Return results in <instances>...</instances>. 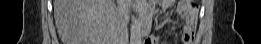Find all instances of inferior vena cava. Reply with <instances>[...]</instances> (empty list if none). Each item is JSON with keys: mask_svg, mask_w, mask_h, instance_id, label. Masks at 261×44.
Masks as SVG:
<instances>
[{"mask_svg": "<svg viewBox=\"0 0 261 44\" xmlns=\"http://www.w3.org/2000/svg\"><path fill=\"white\" fill-rule=\"evenodd\" d=\"M122 19L120 21V36L122 40L128 41L127 18L125 16V9L120 8Z\"/></svg>", "mask_w": 261, "mask_h": 44, "instance_id": "obj_1", "label": "inferior vena cava"}]
</instances>
